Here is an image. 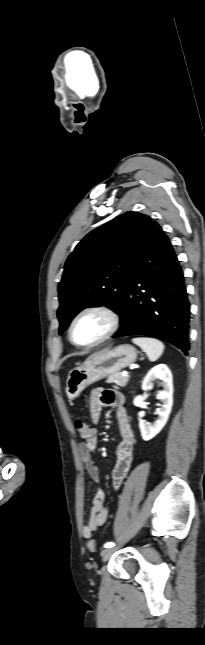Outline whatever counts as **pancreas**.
<instances>
[{
	"label": "pancreas",
	"instance_id": "obj_1",
	"mask_svg": "<svg viewBox=\"0 0 205 645\" xmlns=\"http://www.w3.org/2000/svg\"><path fill=\"white\" fill-rule=\"evenodd\" d=\"M129 381V377H124L122 373L110 375L106 380L107 383H115L117 386L125 387Z\"/></svg>",
	"mask_w": 205,
	"mask_h": 645
}]
</instances>
